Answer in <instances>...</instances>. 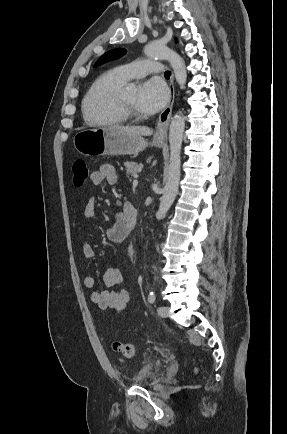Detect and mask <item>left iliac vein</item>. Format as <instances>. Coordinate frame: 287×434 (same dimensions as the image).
I'll return each instance as SVG.
<instances>
[{
    "instance_id": "obj_1",
    "label": "left iliac vein",
    "mask_w": 287,
    "mask_h": 434,
    "mask_svg": "<svg viewBox=\"0 0 287 434\" xmlns=\"http://www.w3.org/2000/svg\"><path fill=\"white\" fill-rule=\"evenodd\" d=\"M158 315L162 318H166L169 314V308L167 306H160L157 310Z\"/></svg>"
}]
</instances>
